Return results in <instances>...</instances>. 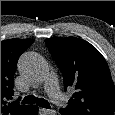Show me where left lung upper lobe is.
Segmentation results:
<instances>
[{
  "mask_svg": "<svg viewBox=\"0 0 115 115\" xmlns=\"http://www.w3.org/2000/svg\"><path fill=\"white\" fill-rule=\"evenodd\" d=\"M45 43L63 74L65 90L74 94L67 115H114L115 86L101 53L76 37L48 38Z\"/></svg>",
  "mask_w": 115,
  "mask_h": 115,
  "instance_id": "left-lung-upper-lobe-1",
  "label": "left lung upper lobe"
}]
</instances>
